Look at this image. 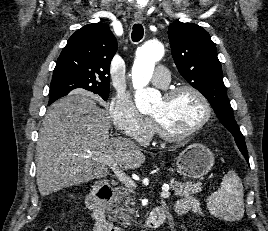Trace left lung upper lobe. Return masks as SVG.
<instances>
[{"label":"left lung upper lobe","instance_id":"1","mask_svg":"<svg viewBox=\"0 0 268 231\" xmlns=\"http://www.w3.org/2000/svg\"><path fill=\"white\" fill-rule=\"evenodd\" d=\"M168 37L180 74L207 98L220 122L234 136L240 151L247 152L227 97L217 50L209 33L196 24L178 22L169 26Z\"/></svg>","mask_w":268,"mask_h":231}]
</instances>
